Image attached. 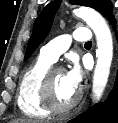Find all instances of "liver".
I'll return each instance as SVG.
<instances>
[{
	"label": "liver",
	"mask_w": 118,
	"mask_h": 123,
	"mask_svg": "<svg viewBox=\"0 0 118 123\" xmlns=\"http://www.w3.org/2000/svg\"><path fill=\"white\" fill-rule=\"evenodd\" d=\"M11 123H50V122H37L33 120L16 119V120L11 121Z\"/></svg>",
	"instance_id": "6515ba94"
}]
</instances>
